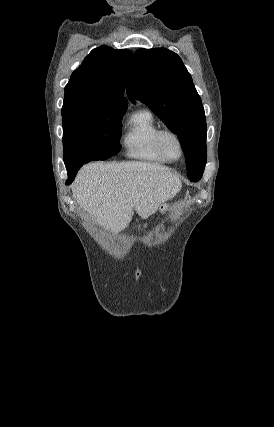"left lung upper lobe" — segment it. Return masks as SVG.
<instances>
[{
  "label": "left lung upper lobe",
  "mask_w": 274,
  "mask_h": 427,
  "mask_svg": "<svg viewBox=\"0 0 274 427\" xmlns=\"http://www.w3.org/2000/svg\"><path fill=\"white\" fill-rule=\"evenodd\" d=\"M126 91L167 124L180 142L188 176L201 177L206 164V119L201 99L181 58L165 48L139 49L131 61Z\"/></svg>",
  "instance_id": "obj_1"
}]
</instances>
